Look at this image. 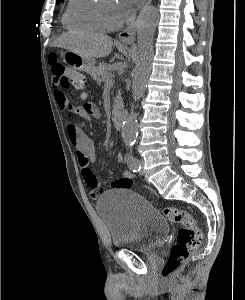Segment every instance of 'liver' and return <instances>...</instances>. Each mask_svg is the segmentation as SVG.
<instances>
[{"label": "liver", "mask_w": 245, "mask_h": 300, "mask_svg": "<svg viewBox=\"0 0 245 300\" xmlns=\"http://www.w3.org/2000/svg\"><path fill=\"white\" fill-rule=\"evenodd\" d=\"M73 51L86 58H102L111 53L112 39L99 33H64L52 44Z\"/></svg>", "instance_id": "liver-1"}]
</instances>
